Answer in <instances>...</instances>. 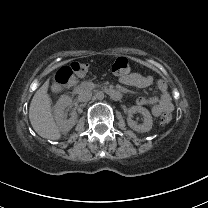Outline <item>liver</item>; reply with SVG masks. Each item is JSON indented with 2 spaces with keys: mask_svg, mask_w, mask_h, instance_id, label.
<instances>
[{
  "mask_svg": "<svg viewBox=\"0 0 208 208\" xmlns=\"http://www.w3.org/2000/svg\"><path fill=\"white\" fill-rule=\"evenodd\" d=\"M47 80L34 94L30 108L29 119L33 129L43 138L58 140L61 137L51 113V99L47 94Z\"/></svg>",
  "mask_w": 208,
  "mask_h": 208,
  "instance_id": "liver-1",
  "label": "liver"
}]
</instances>
